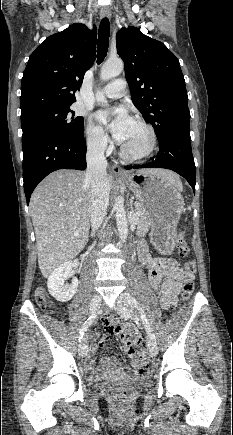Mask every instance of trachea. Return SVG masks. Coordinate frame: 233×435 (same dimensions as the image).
Returning <instances> with one entry per match:
<instances>
[{"instance_id": "3493384b", "label": "trachea", "mask_w": 233, "mask_h": 435, "mask_svg": "<svg viewBox=\"0 0 233 435\" xmlns=\"http://www.w3.org/2000/svg\"><path fill=\"white\" fill-rule=\"evenodd\" d=\"M109 37H110V22L108 18H103L98 31V42H97V63L103 62L107 55L109 47Z\"/></svg>"}]
</instances>
